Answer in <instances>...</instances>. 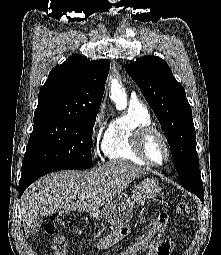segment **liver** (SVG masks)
I'll return each mask as SVG.
<instances>
[{"label":"liver","instance_id":"obj_1","mask_svg":"<svg viewBox=\"0 0 221 255\" xmlns=\"http://www.w3.org/2000/svg\"><path fill=\"white\" fill-rule=\"evenodd\" d=\"M147 170L113 161L88 171L55 172L42 177L24 192L20 213L26 235L34 223L60 210L95 212Z\"/></svg>","mask_w":221,"mask_h":255}]
</instances>
